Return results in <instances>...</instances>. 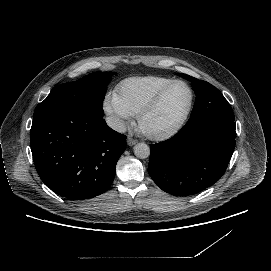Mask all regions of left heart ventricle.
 <instances>
[{
    "mask_svg": "<svg viewBox=\"0 0 271 271\" xmlns=\"http://www.w3.org/2000/svg\"><path fill=\"white\" fill-rule=\"evenodd\" d=\"M191 101V90L184 83L174 85L159 107L142 124L149 133L166 131L175 126L186 113Z\"/></svg>",
    "mask_w": 271,
    "mask_h": 271,
    "instance_id": "1",
    "label": "left heart ventricle"
}]
</instances>
